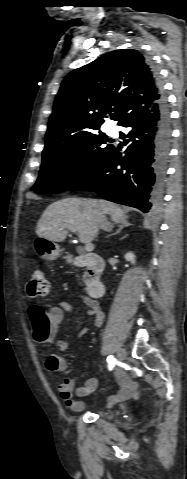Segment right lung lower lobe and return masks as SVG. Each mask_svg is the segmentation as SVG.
Instances as JSON below:
<instances>
[{"mask_svg": "<svg viewBox=\"0 0 187 479\" xmlns=\"http://www.w3.org/2000/svg\"><path fill=\"white\" fill-rule=\"evenodd\" d=\"M120 126L130 128L128 135L122 136L125 156L112 147L106 158L71 190L96 191L109 201L148 213L161 203L171 140L170 112L163 90L157 102L131 112Z\"/></svg>", "mask_w": 187, "mask_h": 479, "instance_id": "1", "label": "right lung lower lobe"}]
</instances>
